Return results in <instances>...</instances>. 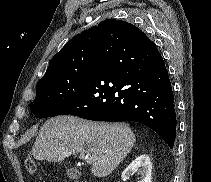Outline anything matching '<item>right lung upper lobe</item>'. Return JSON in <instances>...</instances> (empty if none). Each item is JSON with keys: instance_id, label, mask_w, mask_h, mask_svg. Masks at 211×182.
<instances>
[{"instance_id": "right-lung-upper-lobe-1", "label": "right lung upper lobe", "mask_w": 211, "mask_h": 182, "mask_svg": "<svg viewBox=\"0 0 211 182\" xmlns=\"http://www.w3.org/2000/svg\"><path fill=\"white\" fill-rule=\"evenodd\" d=\"M114 25H121L131 41L142 43L148 37L136 26L120 21L107 19L98 26H94L81 34L73 37L66 45L50 60L49 67L41 80L48 79L56 74L67 70H75L93 63L96 53L97 41L100 35ZM39 80V81H41Z\"/></svg>"}]
</instances>
